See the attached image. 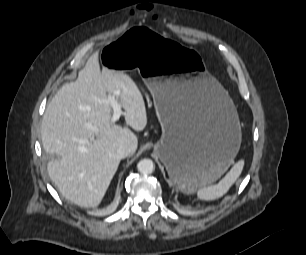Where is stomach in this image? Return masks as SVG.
<instances>
[{
    "label": "stomach",
    "instance_id": "1",
    "mask_svg": "<svg viewBox=\"0 0 306 255\" xmlns=\"http://www.w3.org/2000/svg\"><path fill=\"white\" fill-rule=\"evenodd\" d=\"M100 58L107 69L135 68L151 92L162 127L154 151L177 189L191 194L228 169L241 144L237 110L195 50L137 26L105 44Z\"/></svg>",
    "mask_w": 306,
    "mask_h": 255
}]
</instances>
